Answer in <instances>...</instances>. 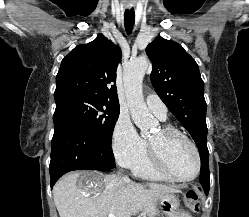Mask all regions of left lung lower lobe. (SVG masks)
Instances as JSON below:
<instances>
[{"label": "left lung lower lobe", "mask_w": 249, "mask_h": 217, "mask_svg": "<svg viewBox=\"0 0 249 217\" xmlns=\"http://www.w3.org/2000/svg\"><path fill=\"white\" fill-rule=\"evenodd\" d=\"M209 178H210V175H209L207 169L202 168L200 170V182H201V185L203 186V189H204L206 194H208L209 188H210Z\"/></svg>", "instance_id": "obj_1"}]
</instances>
